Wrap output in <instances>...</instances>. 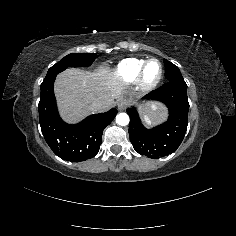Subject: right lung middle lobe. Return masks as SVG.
Here are the masks:
<instances>
[{
    "label": "right lung middle lobe",
    "mask_w": 236,
    "mask_h": 236,
    "mask_svg": "<svg viewBox=\"0 0 236 236\" xmlns=\"http://www.w3.org/2000/svg\"><path fill=\"white\" fill-rule=\"evenodd\" d=\"M98 56L93 53H72L53 65L47 74L60 73L67 67L89 66Z\"/></svg>",
    "instance_id": "obj_1"
}]
</instances>
